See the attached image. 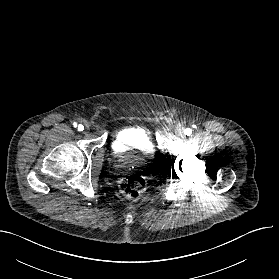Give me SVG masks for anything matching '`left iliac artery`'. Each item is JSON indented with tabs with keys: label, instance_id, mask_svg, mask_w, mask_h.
Instances as JSON below:
<instances>
[{
	"label": "left iliac artery",
	"instance_id": "obj_1",
	"mask_svg": "<svg viewBox=\"0 0 279 279\" xmlns=\"http://www.w3.org/2000/svg\"><path fill=\"white\" fill-rule=\"evenodd\" d=\"M185 135H190L192 133V130L190 128L185 129Z\"/></svg>",
	"mask_w": 279,
	"mask_h": 279
}]
</instances>
